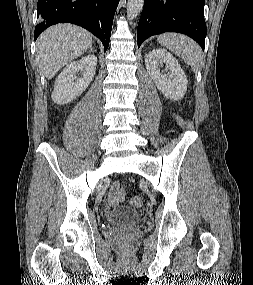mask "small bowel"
Segmentation results:
<instances>
[{
	"mask_svg": "<svg viewBox=\"0 0 253 285\" xmlns=\"http://www.w3.org/2000/svg\"><path fill=\"white\" fill-rule=\"evenodd\" d=\"M125 198V192L119 182H115L108 194V202L111 206H117L123 202Z\"/></svg>",
	"mask_w": 253,
	"mask_h": 285,
	"instance_id": "c3829d8e",
	"label": "small bowel"
}]
</instances>
